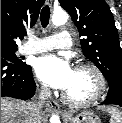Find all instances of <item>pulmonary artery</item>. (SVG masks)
<instances>
[{
  "label": "pulmonary artery",
  "mask_w": 122,
  "mask_h": 123,
  "mask_svg": "<svg viewBox=\"0 0 122 123\" xmlns=\"http://www.w3.org/2000/svg\"><path fill=\"white\" fill-rule=\"evenodd\" d=\"M72 46L70 34L63 30L60 33L45 38L31 37L20 47L21 54H35L53 49H68Z\"/></svg>",
  "instance_id": "obj_1"
}]
</instances>
